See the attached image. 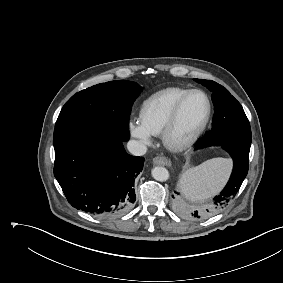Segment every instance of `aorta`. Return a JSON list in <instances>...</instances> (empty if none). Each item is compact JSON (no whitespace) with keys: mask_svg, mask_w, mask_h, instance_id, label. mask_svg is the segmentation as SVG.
I'll return each mask as SVG.
<instances>
[{"mask_svg":"<svg viewBox=\"0 0 283 283\" xmlns=\"http://www.w3.org/2000/svg\"><path fill=\"white\" fill-rule=\"evenodd\" d=\"M152 176L155 180L163 182L168 180L169 172L166 168L157 166L152 169Z\"/></svg>","mask_w":283,"mask_h":283,"instance_id":"762f6f07","label":"aorta"}]
</instances>
